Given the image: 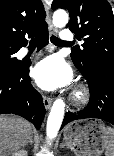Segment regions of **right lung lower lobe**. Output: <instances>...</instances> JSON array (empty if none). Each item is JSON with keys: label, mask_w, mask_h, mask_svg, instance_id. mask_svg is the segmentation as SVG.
<instances>
[{"label": "right lung lower lobe", "mask_w": 114, "mask_h": 156, "mask_svg": "<svg viewBox=\"0 0 114 156\" xmlns=\"http://www.w3.org/2000/svg\"><path fill=\"white\" fill-rule=\"evenodd\" d=\"M35 36L39 39V48L48 44L47 27ZM26 44L27 42L16 50ZM29 65L22 63L11 76L0 77V114L12 113L22 116L39 129L45 115V107L41 95L31 85Z\"/></svg>", "instance_id": "1"}]
</instances>
